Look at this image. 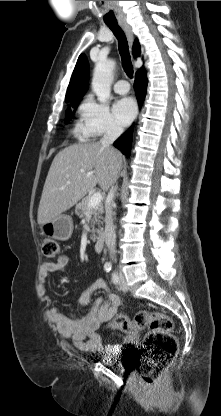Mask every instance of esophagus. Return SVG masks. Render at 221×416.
Listing matches in <instances>:
<instances>
[{
    "mask_svg": "<svg viewBox=\"0 0 221 416\" xmlns=\"http://www.w3.org/2000/svg\"><path fill=\"white\" fill-rule=\"evenodd\" d=\"M121 26L124 29L125 33H126L129 44L132 45V43L134 41V36H133L131 26L127 22H121Z\"/></svg>",
    "mask_w": 221,
    "mask_h": 416,
    "instance_id": "obj_1",
    "label": "esophagus"
}]
</instances>
